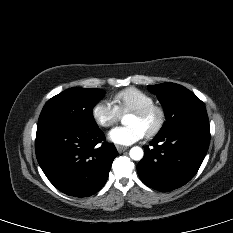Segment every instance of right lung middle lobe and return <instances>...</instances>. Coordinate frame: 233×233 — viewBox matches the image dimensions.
Listing matches in <instances>:
<instances>
[{
	"mask_svg": "<svg viewBox=\"0 0 233 233\" xmlns=\"http://www.w3.org/2000/svg\"><path fill=\"white\" fill-rule=\"evenodd\" d=\"M105 92L94 88H69L52 97L44 105L38 125L63 121L85 127H98L93 117V107Z\"/></svg>",
	"mask_w": 233,
	"mask_h": 233,
	"instance_id": "dd1d6c3e",
	"label": "right lung middle lobe"
}]
</instances>
